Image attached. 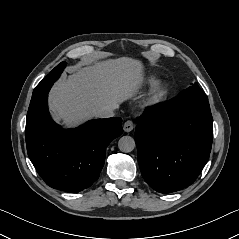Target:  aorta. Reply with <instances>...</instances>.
Returning a JSON list of instances; mask_svg holds the SVG:
<instances>
[{"label": "aorta", "instance_id": "obj_1", "mask_svg": "<svg viewBox=\"0 0 239 239\" xmlns=\"http://www.w3.org/2000/svg\"><path fill=\"white\" fill-rule=\"evenodd\" d=\"M136 146L135 140L130 136H123L118 141V148L121 152L129 153Z\"/></svg>", "mask_w": 239, "mask_h": 239}]
</instances>
